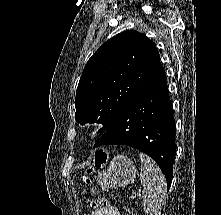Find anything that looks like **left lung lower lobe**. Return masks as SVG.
I'll use <instances>...</instances> for the list:
<instances>
[{
	"label": "left lung lower lobe",
	"mask_w": 221,
	"mask_h": 215,
	"mask_svg": "<svg viewBox=\"0 0 221 215\" xmlns=\"http://www.w3.org/2000/svg\"><path fill=\"white\" fill-rule=\"evenodd\" d=\"M108 144L127 145L149 155L161 168L170 188L176 150L165 72L124 110L94 148Z\"/></svg>",
	"instance_id": "0a47b994"
}]
</instances>
